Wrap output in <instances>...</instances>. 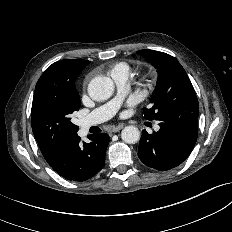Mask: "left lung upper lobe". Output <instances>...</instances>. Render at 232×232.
I'll return each mask as SVG.
<instances>
[{
	"instance_id": "left-lung-upper-lobe-1",
	"label": "left lung upper lobe",
	"mask_w": 232,
	"mask_h": 232,
	"mask_svg": "<svg viewBox=\"0 0 232 232\" xmlns=\"http://www.w3.org/2000/svg\"><path fill=\"white\" fill-rule=\"evenodd\" d=\"M137 54L151 61L157 69L158 79L151 97V107L143 108L148 120H159L176 111L198 112V100L187 73L179 61L166 53L140 50Z\"/></svg>"
}]
</instances>
